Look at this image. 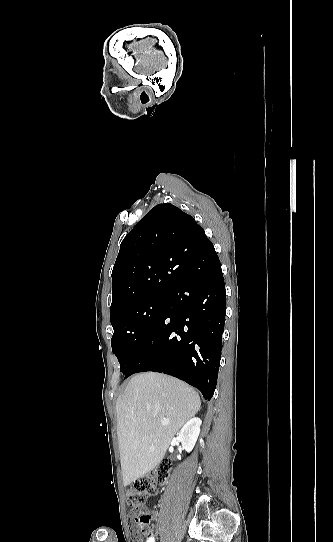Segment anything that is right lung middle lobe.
Wrapping results in <instances>:
<instances>
[{"mask_svg":"<svg viewBox=\"0 0 333 542\" xmlns=\"http://www.w3.org/2000/svg\"><path fill=\"white\" fill-rule=\"evenodd\" d=\"M168 301V294H162L149 302L127 307L111 317L114 329L112 351L123 374L127 373L145 340L165 313Z\"/></svg>","mask_w":333,"mask_h":542,"instance_id":"1","label":"right lung middle lobe"}]
</instances>
